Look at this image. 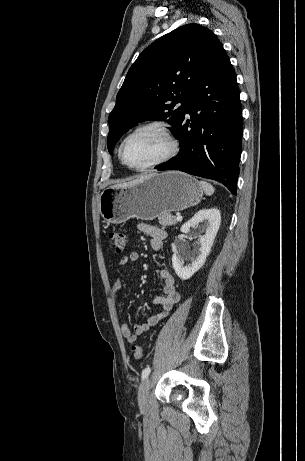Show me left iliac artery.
<instances>
[{
    "mask_svg": "<svg viewBox=\"0 0 305 461\" xmlns=\"http://www.w3.org/2000/svg\"><path fill=\"white\" fill-rule=\"evenodd\" d=\"M150 371H151V368H150V367H146V368L142 371V379L147 378L148 375L150 374Z\"/></svg>",
    "mask_w": 305,
    "mask_h": 461,
    "instance_id": "obj_1",
    "label": "left iliac artery"
}]
</instances>
